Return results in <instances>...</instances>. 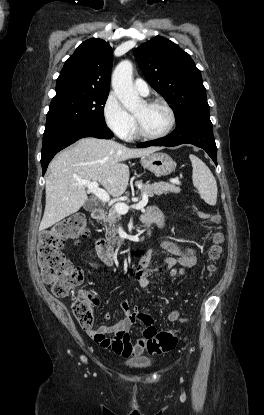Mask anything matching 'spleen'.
Returning a JSON list of instances; mask_svg holds the SVG:
<instances>
[{
    "label": "spleen",
    "mask_w": 264,
    "mask_h": 415,
    "mask_svg": "<svg viewBox=\"0 0 264 415\" xmlns=\"http://www.w3.org/2000/svg\"><path fill=\"white\" fill-rule=\"evenodd\" d=\"M193 167L192 180L201 198L209 205L217 201V183L208 166L197 156L189 155Z\"/></svg>",
    "instance_id": "obj_1"
}]
</instances>
